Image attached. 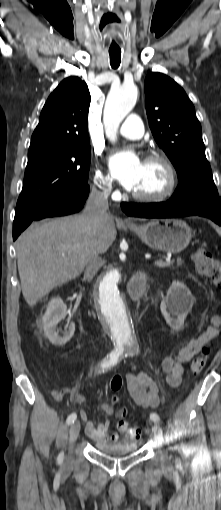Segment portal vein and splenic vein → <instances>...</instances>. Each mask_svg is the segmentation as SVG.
<instances>
[{"label":"portal vein and splenic vein","instance_id":"portal-vein-and-splenic-vein-1","mask_svg":"<svg viewBox=\"0 0 221 510\" xmlns=\"http://www.w3.org/2000/svg\"><path fill=\"white\" fill-rule=\"evenodd\" d=\"M154 264L158 267H165L167 265H170V261L169 260H166V261L157 260V261H154Z\"/></svg>","mask_w":221,"mask_h":510}]
</instances>
